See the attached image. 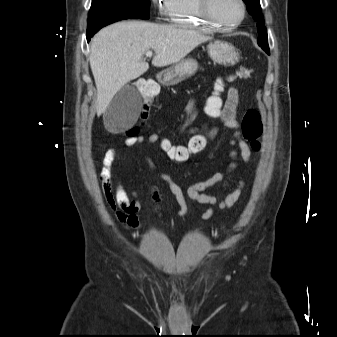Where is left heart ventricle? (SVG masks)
Segmentation results:
<instances>
[{
	"label": "left heart ventricle",
	"mask_w": 337,
	"mask_h": 337,
	"mask_svg": "<svg viewBox=\"0 0 337 337\" xmlns=\"http://www.w3.org/2000/svg\"><path fill=\"white\" fill-rule=\"evenodd\" d=\"M212 12L224 24H233L241 17V7L237 0H213Z\"/></svg>",
	"instance_id": "obj_1"
}]
</instances>
